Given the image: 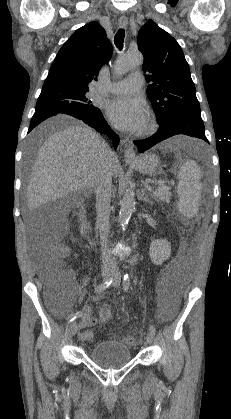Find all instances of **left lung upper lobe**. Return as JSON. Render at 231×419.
Returning a JSON list of instances; mask_svg holds the SVG:
<instances>
[{
    "label": "left lung upper lobe",
    "mask_w": 231,
    "mask_h": 419,
    "mask_svg": "<svg viewBox=\"0 0 231 419\" xmlns=\"http://www.w3.org/2000/svg\"><path fill=\"white\" fill-rule=\"evenodd\" d=\"M138 48L144 55L143 71L152 82L147 95L161 124L187 112L200 113L189 65L177 41L149 20L139 31Z\"/></svg>",
    "instance_id": "obj_1"
}]
</instances>
